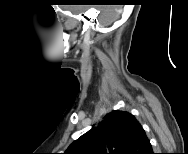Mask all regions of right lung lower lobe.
I'll return each instance as SVG.
<instances>
[{
    "label": "right lung lower lobe",
    "instance_id": "98d812e1",
    "mask_svg": "<svg viewBox=\"0 0 188 154\" xmlns=\"http://www.w3.org/2000/svg\"><path fill=\"white\" fill-rule=\"evenodd\" d=\"M146 154H153L152 149L150 151H148Z\"/></svg>",
    "mask_w": 188,
    "mask_h": 154
}]
</instances>
